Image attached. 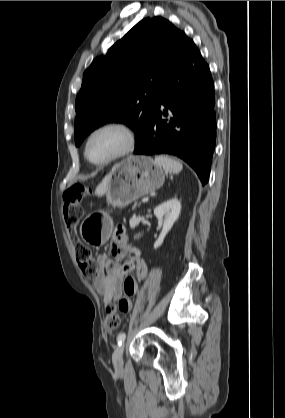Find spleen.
I'll return each instance as SVG.
<instances>
[{
    "label": "spleen",
    "instance_id": "3e777b00",
    "mask_svg": "<svg viewBox=\"0 0 285 418\" xmlns=\"http://www.w3.org/2000/svg\"><path fill=\"white\" fill-rule=\"evenodd\" d=\"M155 163L170 174H178L183 169L181 162L168 156H156Z\"/></svg>",
    "mask_w": 285,
    "mask_h": 418
}]
</instances>
